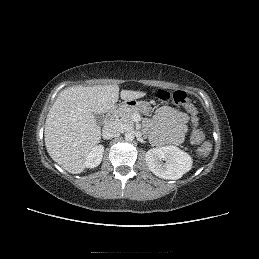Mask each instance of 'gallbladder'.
<instances>
[{
  "label": "gallbladder",
  "instance_id": "gallbladder-1",
  "mask_svg": "<svg viewBox=\"0 0 259 259\" xmlns=\"http://www.w3.org/2000/svg\"><path fill=\"white\" fill-rule=\"evenodd\" d=\"M94 117H95L97 124H101L104 121L103 114H94Z\"/></svg>",
  "mask_w": 259,
  "mask_h": 259
}]
</instances>
